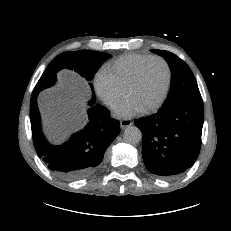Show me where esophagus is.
<instances>
[{
  "label": "esophagus",
  "instance_id": "obj_1",
  "mask_svg": "<svg viewBox=\"0 0 231 231\" xmlns=\"http://www.w3.org/2000/svg\"><path fill=\"white\" fill-rule=\"evenodd\" d=\"M132 124H133V122L130 119H122L120 121L121 129H125V128L131 126Z\"/></svg>",
  "mask_w": 231,
  "mask_h": 231
}]
</instances>
